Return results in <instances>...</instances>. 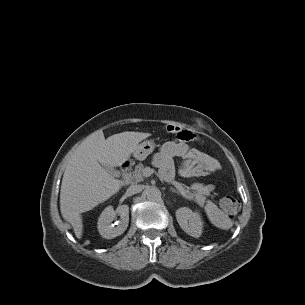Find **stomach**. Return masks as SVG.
<instances>
[{
	"label": "stomach",
	"mask_w": 305,
	"mask_h": 305,
	"mask_svg": "<svg viewBox=\"0 0 305 305\" xmlns=\"http://www.w3.org/2000/svg\"><path fill=\"white\" fill-rule=\"evenodd\" d=\"M155 149V143L152 140H145L137 145L133 151V157L139 161L145 160Z\"/></svg>",
	"instance_id": "obj_1"
}]
</instances>
